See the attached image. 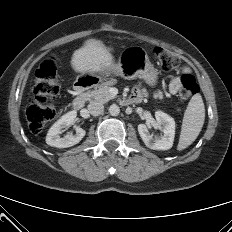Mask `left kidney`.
I'll list each match as a JSON object with an SVG mask.
<instances>
[{"label": "left kidney", "mask_w": 232, "mask_h": 232, "mask_svg": "<svg viewBox=\"0 0 232 232\" xmlns=\"http://www.w3.org/2000/svg\"><path fill=\"white\" fill-rule=\"evenodd\" d=\"M157 125L162 129L163 136L153 137L145 124L138 125V132L145 145L153 150H168L173 146L175 136V121L162 111L155 112Z\"/></svg>", "instance_id": "obj_1"}]
</instances>
